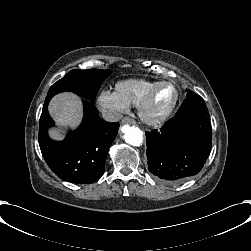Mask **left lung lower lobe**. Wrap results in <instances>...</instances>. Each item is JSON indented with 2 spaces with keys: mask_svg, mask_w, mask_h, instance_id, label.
Returning a JSON list of instances; mask_svg holds the SVG:
<instances>
[{
  "mask_svg": "<svg viewBox=\"0 0 251 251\" xmlns=\"http://www.w3.org/2000/svg\"><path fill=\"white\" fill-rule=\"evenodd\" d=\"M148 170L161 182L176 184L196 175L211 151L210 116L177 115L160 131L146 132Z\"/></svg>",
  "mask_w": 251,
  "mask_h": 251,
  "instance_id": "0a47b994",
  "label": "left lung lower lobe"
}]
</instances>
